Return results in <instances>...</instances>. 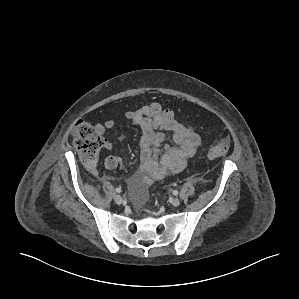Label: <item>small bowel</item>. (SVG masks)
Returning <instances> with one entry per match:
<instances>
[{
  "instance_id": "small-bowel-1",
  "label": "small bowel",
  "mask_w": 299,
  "mask_h": 299,
  "mask_svg": "<svg viewBox=\"0 0 299 299\" xmlns=\"http://www.w3.org/2000/svg\"><path fill=\"white\" fill-rule=\"evenodd\" d=\"M125 120L141 129L140 164L137 171L129 179L128 186L137 205H142L147 196V188L157 180L168 175L181 172L197 151L200 137L193 128L180 122H169L154 113L149 105L127 111ZM115 123L112 119L97 125L100 134L112 130ZM167 136H171L174 146H163ZM163 146V147H162ZM107 150L112 149V143L105 142ZM120 160L109 155L104 161L107 169H115Z\"/></svg>"
}]
</instances>
